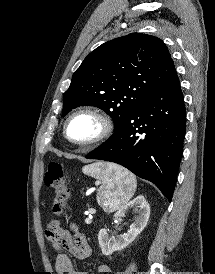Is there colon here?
<instances>
[{
	"label": "colon",
	"mask_w": 215,
	"mask_h": 274,
	"mask_svg": "<svg viewBox=\"0 0 215 274\" xmlns=\"http://www.w3.org/2000/svg\"><path fill=\"white\" fill-rule=\"evenodd\" d=\"M45 185L54 191L53 212L61 215L66 209L68 189L65 185L62 165L57 161H50L44 177Z\"/></svg>",
	"instance_id": "1"
}]
</instances>
